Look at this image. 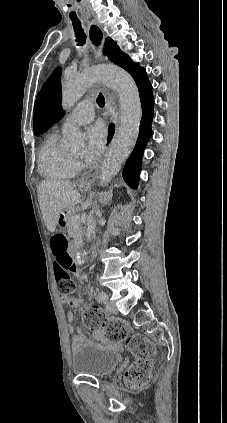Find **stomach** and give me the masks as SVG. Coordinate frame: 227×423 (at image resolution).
<instances>
[{"label":"stomach","instance_id":"1","mask_svg":"<svg viewBox=\"0 0 227 423\" xmlns=\"http://www.w3.org/2000/svg\"><path fill=\"white\" fill-rule=\"evenodd\" d=\"M92 182H93V180H90V186H83V184H81V182H79L78 186H79L80 190H83V192H88V190H90V188H91Z\"/></svg>","mask_w":227,"mask_h":423}]
</instances>
